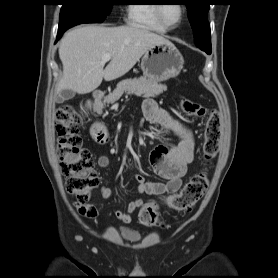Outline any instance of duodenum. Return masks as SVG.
Instances as JSON below:
<instances>
[{
  "mask_svg": "<svg viewBox=\"0 0 278 278\" xmlns=\"http://www.w3.org/2000/svg\"><path fill=\"white\" fill-rule=\"evenodd\" d=\"M103 97H104L103 91L95 90L92 93V97L88 103L89 108L91 109L96 105H98L102 101ZM91 135L93 136L94 139H96L99 142H103L107 138V134L104 127L97 122H95L91 127Z\"/></svg>",
  "mask_w": 278,
  "mask_h": 278,
  "instance_id": "410a0bca",
  "label": "duodenum"
}]
</instances>
